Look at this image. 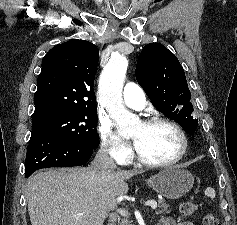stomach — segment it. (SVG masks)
Instances as JSON below:
<instances>
[{"label": "stomach", "instance_id": "obj_1", "mask_svg": "<svg viewBox=\"0 0 237 225\" xmlns=\"http://www.w3.org/2000/svg\"><path fill=\"white\" fill-rule=\"evenodd\" d=\"M149 187L168 199H178L189 192L193 186L192 174L178 166L161 170L146 180Z\"/></svg>", "mask_w": 237, "mask_h": 225}]
</instances>
